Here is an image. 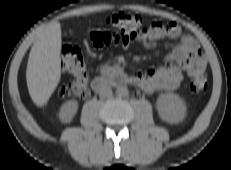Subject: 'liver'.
<instances>
[{
	"mask_svg": "<svg viewBox=\"0 0 231 170\" xmlns=\"http://www.w3.org/2000/svg\"><path fill=\"white\" fill-rule=\"evenodd\" d=\"M61 25L49 24L38 36L31 48L26 81L32 101L37 106H44L61 78Z\"/></svg>",
	"mask_w": 231,
	"mask_h": 170,
	"instance_id": "obj_1",
	"label": "liver"
}]
</instances>
